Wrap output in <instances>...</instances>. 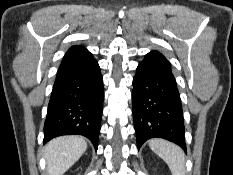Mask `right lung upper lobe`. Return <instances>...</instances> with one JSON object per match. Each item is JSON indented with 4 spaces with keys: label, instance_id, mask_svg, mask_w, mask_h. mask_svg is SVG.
<instances>
[{
    "label": "right lung upper lobe",
    "instance_id": "cb5924a9",
    "mask_svg": "<svg viewBox=\"0 0 233 175\" xmlns=\"http://www.w3.org/2000/svg\"><path fill=\"white\" fill-rule=\"evenodd\" d=\"M86 52L88 51L83 46H79V45L72 46L65 54L62 61L71 59Z\"/></svg>",
    "mask_w": 233,
    "mask_h": 175
}]
</instances>
